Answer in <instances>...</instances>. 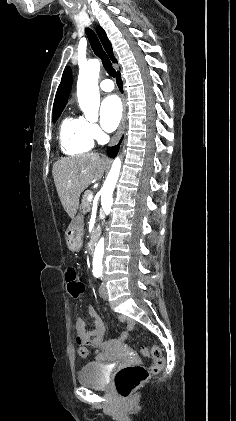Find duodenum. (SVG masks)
<instances>
[{
  "mask_svg": "<svg viewBox=\"0 0 236 421\" xmlns=\"http://www.w3.org/2000/svg\"><path fill=\"white\" fill-rule=\"evenodd\" d=\"M99 237V231H94L92 233L91 239H90V243H89V247L90 250L92 251L96 245V242L98 240ZM132 326L129 325L128 328H131ZM79 338L81 340L82 344H91L93 346H99L102 350V352L98 353L97 358L100 360H105V359H110L111 355L109 353V344L106 342H103V335L104 332L101 328H98L96 331H90L87 332L84 328V326L79 329ZM91 335H95V339L94 340H90V336ZM126 337V334H123L121 339L124 340Z\"/></svg>",
  "mask_w": 236,
  "mask_h": 421,
  "instance_id": "410a0bca",
  "label": "duodenum"
}]
</instances>
